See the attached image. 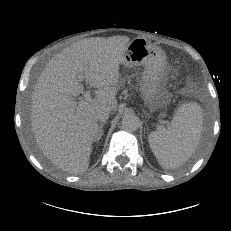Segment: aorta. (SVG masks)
<instances>
[{"instance_id": "1", "label": "aorta", "mask_w": 231, "mask_h": 231, "mask_svg": "<svg viewBox=\"0 0 231 231\" xmlns=\"http://www.w3.org/2000/svg\"><path fill=\"white\" fill-rule=\"evenodd\" d=\"M122 128L129 132L138 130L140 126V120L134 114H125L121 121Z\"/></svg>"}]
</instances>
